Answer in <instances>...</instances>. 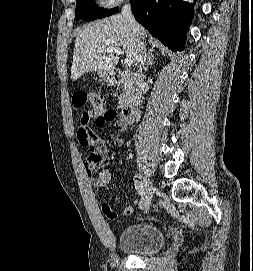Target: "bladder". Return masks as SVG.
<instances>
[{
  "instance_id": "31cf9c89",
  "label": "bladder",
  "mask_w": 253,
  "mask_h": 271,
  "mask_svg": "<svg viewBox=\"0 0 253 271\" xmlns=\"http://www.w3.org/2000/svg\"><path fill=\"white\" fill-rule=\"evenodd\" d=\"M163 229L155 224L138 223L125 228L118 237V247L133 255H151L166 243Z\"/></svg>"
}]
</instances>
